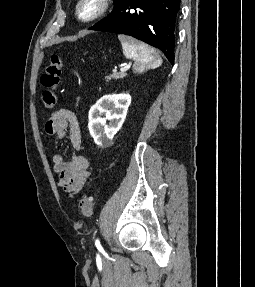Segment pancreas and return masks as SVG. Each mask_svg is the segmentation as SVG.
<instances>
[{
  "mask_svg": "<svg viewBox=\"0 0 255 287\" xmlns=\"http://www.w3.org/2000/svg\"><path fill=\"white\" fill-rule=\"evenodd\" d=\"M112 78L113 80H119V78H125V74L124 72H114V74H109L106 78L107 82H110Z\"/></svg>",
  "mask_w": 255,
  "mask_h": 287,
  "instance_id": "1",
  "label": "pancreas"
}]
</instances>
